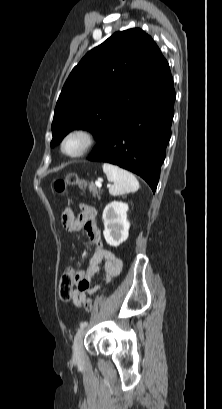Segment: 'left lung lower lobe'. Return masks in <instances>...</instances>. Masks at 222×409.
I'll use <instances>...</instances> for the list:
<instances>
[{
	"label": "left lung lower lobe",
	"mask_w": 222,
	"mask_h": 409,
	"mask_svg": "<svg viewBox=\"0 0 222 409\" xmlns=\"http://www.w3.org/2000/svg\"><path fill=\"white\" fill-rule=\"evenodd\" d=\"M174 100L170 73L123 107L100 135L88 159L136 173L155 192L171 137Z\"/></svg>",
	"instance_id": "obj_1"
}]
</instances>
